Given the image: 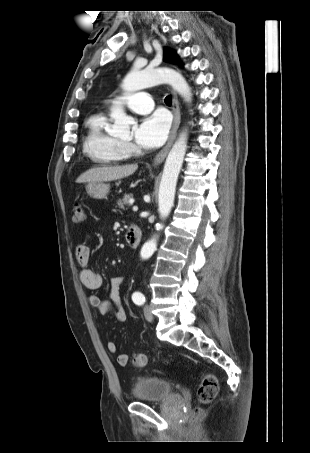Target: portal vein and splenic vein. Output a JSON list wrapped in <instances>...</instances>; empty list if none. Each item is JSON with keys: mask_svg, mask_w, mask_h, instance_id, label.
<instances>
[{"mask_svg": "<svg viewBox=\"0 0 310 453\" xmlns=\"http://www.w3.org/2000/svg\"><path fill=\"white\" fill-rule=\"evenodd\" d=\"M138 210V207L137 206H133V211H137Z\"/></svg>", "mask_w": 310, "mask_h": 453, "instance_id": "1", "label": "portal vein and splenic vein"}]
</instances>
